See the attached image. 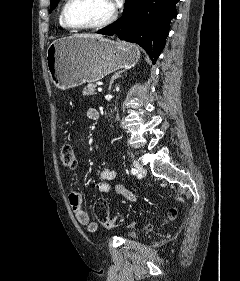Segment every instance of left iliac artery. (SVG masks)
Segmentation results:
<instances>
[{
	"instance_id": "left-iliac-artery-1",
	"label": "left iliac artery",
	"mask_w": 240,
	"mask_h": 281,
	"mask_svg": "<svg viewBox=\"0 0 240 281\" xmlns=\"http://www.w3.org/2000/svg\"><path fill=\"white\" fill-rule=\"evenodd\" d=\"M131 173L133 175H136L138 173V170L136 168H132Z\"/></svg>"
}]
</instances>
